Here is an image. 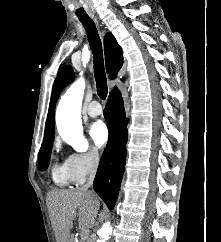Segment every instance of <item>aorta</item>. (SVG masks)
I'll return each mask as SVG.
<instances>
[{
  "label": "aorta",
  "instance_id": "1",
  "mask_svg": "<svg viewBox=\"0 0 221 242\" xmlns=\"http://www.w3.org/2000/svg\"><path fill=\"white\" fill-rule=\"evenodd\" d=\"M85 90L83 78L74 82L67 92L61 97L56 112L58 132L61 137L78 151L87 149V141L83 137L81 120V106ZM110 222H106L98 230L96 242H105L111 235Z\"/></svg>",
  "mask_w": 221,
  "mask_h": 242
}]
</instances>
